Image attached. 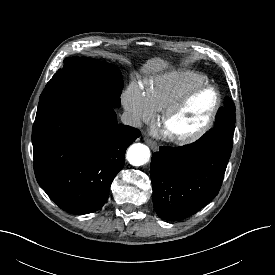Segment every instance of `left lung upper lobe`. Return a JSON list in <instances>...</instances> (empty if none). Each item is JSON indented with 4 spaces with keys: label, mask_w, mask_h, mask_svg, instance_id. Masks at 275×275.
<instances>
[{
    "label": "left lung upper lobe",
    "mask_w": 275,
    "mask_h": 275,
    "mask_svg": "<svg viewBox=\"0 0 275 275\" xmlns=\"http://www.w3.org/2000/svg\"><path fill=\"white\" fill-rule=\"evenodd\" d=\"M224 107L227 110L226 111V116L221 121H216L215 120V125L235 128V122H236L235 105L229 97L225 98Z\"/></svg>",
    "instance_id": "obj_1"
}]
</instances>
